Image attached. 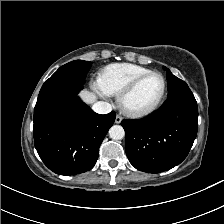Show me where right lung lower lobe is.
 Returning <instances> with one entry per match:
<instances>
[{"mask_svg":"<svg viewBox=\"0 0 224 224\" xmlns=\"http://www.w3.org/2000/svg\"><path fill=\"white\" fill-rule=\"evenodd\" d=\"M83 83L51 76L34 108L35 148L44 164L60 175L90 170L99 147L115 121V112L99 115L77 96Z\"/></svg>","mask_w":224,"mask_h":224,"instance_id":"1","label":"right lung lower lobe"}]
</instances>
